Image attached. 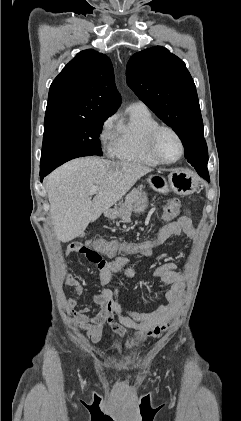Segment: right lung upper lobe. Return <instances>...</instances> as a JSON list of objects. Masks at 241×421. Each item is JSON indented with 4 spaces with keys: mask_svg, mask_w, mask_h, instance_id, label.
<instances>
[{
    "mask_svg": "<svg viewBox=\"0 0 241 421\" xmlns=\"http://www.w3.org/2000/svg\"><path fill=\"white\" fill-rule=\"evenodd\" d=\"M119 105L110 59L89 49L78 53L52 82L46 114L112 115Z\"/></svg>",
    "mask_w": 241,
    "mask_h": 421,
    "instance_id": "right-lung-upper-lobe-1",
    "label": "right lung upper lobe"
}]
</instances>
